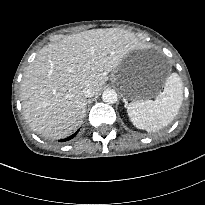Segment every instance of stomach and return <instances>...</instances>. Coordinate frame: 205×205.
<instances>
[{
  "mask_svg": "<svg viewBox=\"0 0 205 205\" xmlns=\"http://www.w3.org/2000/svg\"><path fill=\"white\" fill-rule=\"evenodd\" d=\"M111 81L120 89L126 99L133 101L152 98L163 86V81L159 83L145 81L141 65L130 58L123 61L113 71Z\"/></svg>",
  "mask_w": 205,
  "mask_h": 205,
  "instance_id": "0dacf381",
  "label": "stomach"
}]
</instances>
